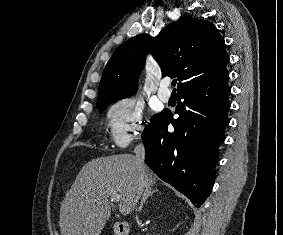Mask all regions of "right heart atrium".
I'll list each match as a JSON object with an SVG mask.
<instances>
[{"label": "right heart atrium", "instance_id": "1", "mask_svg": "<svg viewBox=\"0 0 283 235\" xmlns=\"http://www.w3.org/2000/svg\"><path fill=\"white\" fill-rule=\"evenodd\" d=\"M107 122L113 145L125 148L141 135L145 125L144 112L134 99L123 98L111 105Z\"/></svg>", "mask_w": 283, "mask_h": 235}]
</instances>
